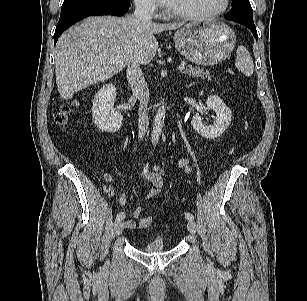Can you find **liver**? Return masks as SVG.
Segmentation results:
<instances>
[{"label":"liver","mask_w":307,"mask_h":301,"mask_svg":"<svg viewBox=\"0 0 307 301\" xmlns=\"http://www.w3.org/2000/svg\"><path fill=\"white\" fill-rule=\"evenodd\" d=\"M182 25L141 22L133 15L86 18L63 33L56 44L55 74L61 97L68 100L110 79L131 61L148 64L158 50L154 34Z\"/></svg>","instance_id":"6515ba94"}]
</instances>
